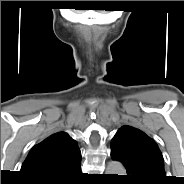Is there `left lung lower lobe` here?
<instances>
[{"label":"left lung lower lobe","instance_id":"0a47b994","mask_svg":"<svg viewBox=\"0 0 184 184\" xmlns=\"http://www.w3.org/2000/svg\"><path fill=\"white\" fill-rule=\"evenodd\" d=\"M111 157L113 160H118L123 163L126 168L127 175L124 176V180L128 184H158L153 181L143 179L140 174L116 151L111 149Z\"/></svg>","mask_w":184,"mask_h":184}]
</instances>
